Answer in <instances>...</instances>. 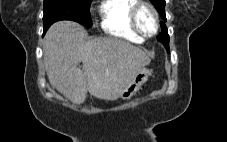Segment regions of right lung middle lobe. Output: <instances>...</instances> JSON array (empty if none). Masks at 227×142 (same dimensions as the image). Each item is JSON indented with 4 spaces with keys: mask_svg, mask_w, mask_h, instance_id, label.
<instances>
[{
    "mask_svg": "<svg viewBox=\"0 0 227 142\" xmlns=\"http://www.w3.org/2000/svg\"><path fill=\"white\" fill-rule=\"evenodd\" d=\"M90 3L91 0H44V33L59 20H72L92 26Z\"/></svg>",
    "mask_w": 227,
    "mask_h": 142,
    "instance_id": "1",
    "label": "right lung middle lobe"
}]
</instances>
